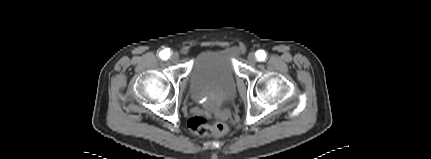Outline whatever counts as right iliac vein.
<instances>
[{
	"instance_id": "1",
	"label": "right iliac vein",
	"mask_w": 431,
	"mask_h": 159,
	"mask_svg": "<svg viewBox=\"0 0 431 159\" xmlns=\"http://www.w3.org/2000/svg\"><path fill=\"white\" fill-rule=\"evenodd\" d=\"M173 62H176L179 60V54L174 52L171 54V58H170Z\"/></svg>"
}]
</instances>
